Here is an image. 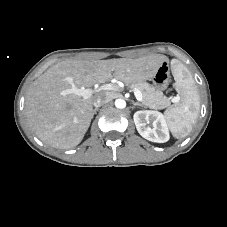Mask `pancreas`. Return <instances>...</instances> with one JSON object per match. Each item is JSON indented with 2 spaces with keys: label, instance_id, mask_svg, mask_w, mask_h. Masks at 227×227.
<instances>
[{
  "label": "pancreas",
  "instance_id": "pancreas-1",
  "mask_svg": "<svg viewBox=\"0 0 227 227\" xmlns=\"http://www.w3.org/2000/svg\"><path fill=\"white\" fill-rule=\"evenodd\" d=\"M132 87L137 88L142 93L143 106L151 109H164L169 106V99L147 82H136L132 84Z\"/></svg>",
  "mask_w": 227,
  "mask_h": 227
}]
</instances>
